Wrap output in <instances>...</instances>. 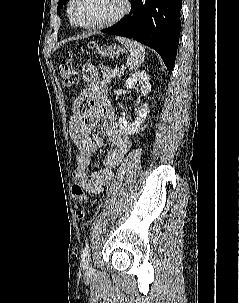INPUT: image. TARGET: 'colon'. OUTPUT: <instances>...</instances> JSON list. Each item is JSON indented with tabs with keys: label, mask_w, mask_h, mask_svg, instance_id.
Masks as SVG:
<instances>
[{
	"label": "colon",
	"mask_w": 239,
	"mask_h": 303,
	"mask_svg": "<svg viewBox=\"0 0 239 303\" xmlns=\"http://www.w3.org/2000/svg\"><path fill=\"white\" fill-rule=\"evenodd\" d=\"M60 74L62 79V84L64 86H73L79 83L80 73L77 67L69 61H64L60 64ZM73 201L77 205L76 215L79 219L84 218V211L78 207L79 204L87 203V198L81 186L74 185L71 189Z\"/></svg>",
	"instance_id": "1"
}]
</instances>
